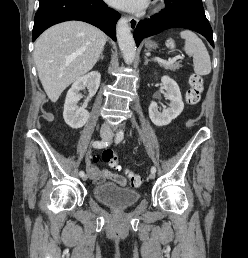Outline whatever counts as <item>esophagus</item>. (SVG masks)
I'll use <instances>...</instances> for the list:
<instances>
[{
  "instance_id": "obj_1",
  "label": "esophagus",
  "mask_w": 248,
  "mask_h": 258,
  "mask_svg": "<svg viewBox=\"0 0 248 258\" xmlns=\"http://www.w3.org/2000/svg\"><path fill=\"white\" fill-rule=\"evenodd\" d=\"M128 21H129V26L130 28L133 30L136 28L137 24H138V19L132 16L128 17Z\"/></svg>"
}]
</instances>
